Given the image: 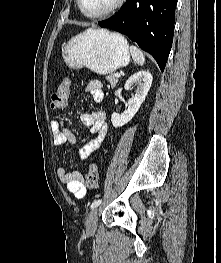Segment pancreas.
I'll return each mask as SVG.
<instances>
[{
	"label": "pancreas",
	"instance_id": "pancreas-1",
	"mask_svg": "<svg viewBox=\"0 0 221 263\" xmlns=\"http://www.w3.org/2000/svg\"><path fill=\"white\" fill-rule=\"evenodd\" d=\"M106 79L109 81L112 88H114L118 82V78L115 77V74L106 76Z\"/></svg>",
	"mask_w": 221,
	"mask_h": 263
}]
</instances>
